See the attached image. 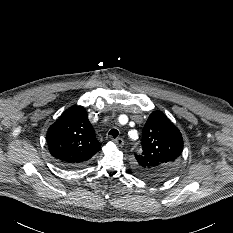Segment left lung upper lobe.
<instances>
[{
    "label": "left lung upper lobe",
    "instance_id": "1",
    "mask_svg": "<svg viewBox=\"0 0 233 233\" xmlns=\"http://www.w3.org/2000/svg\"><path fill=\"white\" fill-rule=\"evenodd\" d=\"M142 147V154H135L137 173L146 180L162 181L175 171L183 139L178 128L162 112L154 111L143 128Z\"/></svg>",
    "mask_w": 233,
    "mask_h": 233
}]
</instances>
